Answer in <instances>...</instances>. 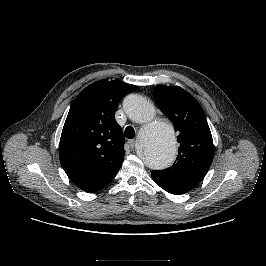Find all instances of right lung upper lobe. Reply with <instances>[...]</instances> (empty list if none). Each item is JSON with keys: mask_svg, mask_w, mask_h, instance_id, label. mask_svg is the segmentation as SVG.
I'll return each instance as SVG.
<instances>
[{"mask_svg": "<svg viewBox=\"0 0 266 266\" xmlns=\"http://www.w3.org/2000/svg\"><path fill=\"white\" fill-rule=\"evenodd\" d=\"M136 88L119 81H97L73 101L62 130L59 157L70 180L83 191H99L118 173L125 150L114 113L120 100Z\"/></svg>", "mask_w": 266, "mask_h": 266, "instance_id": "obj_1", "label": "right lung upper lobe"}]
</instances>
